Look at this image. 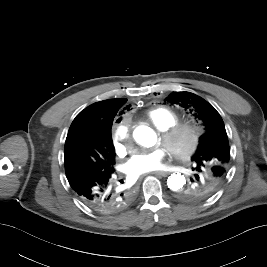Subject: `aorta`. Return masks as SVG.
<instances>
[{
	"label": "aorta",
	"instance_id": "1",
	"mask_svg": "<svg viewBox=\"0 0 267 267\" xmlns=\"http://www.w3.org/2000/svg\"><path fill=\"white\" fill-rule=\"evenodd\" d=\"M133 137L138 144L144 147L154 146L157 140L155 132L150 127L144 125L135 128ZM185 184V176L181 173H173L167 179L168 188L174 192L183 189Z\"/></svg>",
	"mask_w": 267,
	"mask_h": 267
}]
</instances>
